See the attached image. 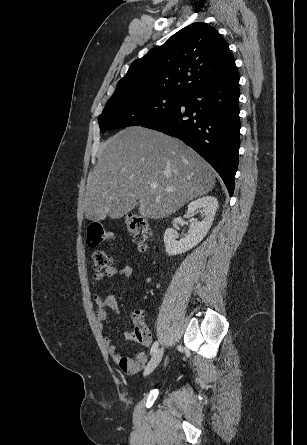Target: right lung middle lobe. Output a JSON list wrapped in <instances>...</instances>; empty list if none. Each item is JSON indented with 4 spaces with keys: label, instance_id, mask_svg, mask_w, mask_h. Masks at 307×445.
Instances as JSON below:
<instances>
[{
    "label": "right lung middle lobe",
    "instance_id": "right-lung-middle-lobe-1",
    "mask_svg": "<svg viewBox=\"0 0 307 445\" xmlns=\"http://www.w3.org/2000/svg\"><path fill=\"white\" fill-rule=\"evenodd\" d=\"M184 99L181 95L148 94L111 97L98 117L100 130L143 125L176 108Z\"/></svg>",
    "mask_w": 307,
    "mask_h": 445
}]
</instances>
